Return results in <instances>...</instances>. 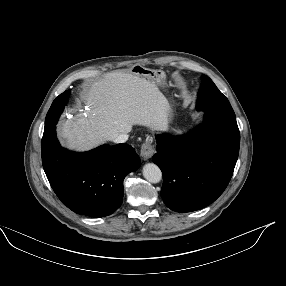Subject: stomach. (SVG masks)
<instances>
[{"label":"stomach","instance_id":"stomach-1","mask_svg":"<svg viewBox=\"0 0 286 286\" xmlns=\"http://www.w3.org/2000/svg\"><path fill=\"white\" fill-rule=\"evenodd\" d=\"M130 71L134 75H137L139 77L145 78V79L150 80V81H153L156 84H164L165 83L166 75L161 70H153V69L146 68L140 64H136L130 69ZM167 103H168V101H167ZM168 109H169L168 120H170L171 115H172V109H171V106L169 103H168Z\"/></svg>","mask_w":286,"mask_h":286}]
</instances>
